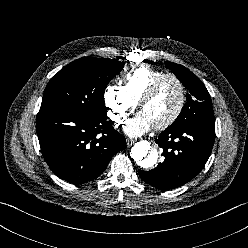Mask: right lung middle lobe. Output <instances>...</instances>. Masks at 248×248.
<instances>
[{
	"instance_id": "right-lung-middle-lobe-1",
	"label": "right lung middle lobe",
	"mask_w": 248,
	"mask_h": 248,
	"mask_svg": "<svg viewBox=\"0 0 248 248\" xmlns=\"http://www.w3.org/2000/svg\"><path fill=\"white\" fill-rule=\"evenodd\" d=\"M115 59L83 57L55 74L43 95L40 110L73 111L93 117H106L104 102L107 84L123 68Z\"/></svg>"
}]
</instances>
